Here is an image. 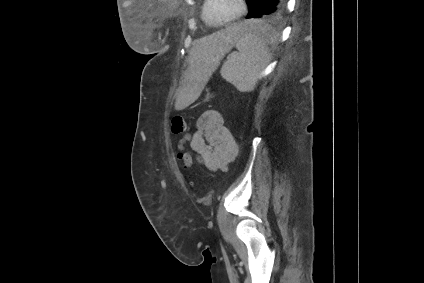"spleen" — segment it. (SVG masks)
<instances>
[{"mask_svg": "<svg viewBox=\"0 0 424 283\" xmlns=\"http://www.w3.org/2000/svg\"><path fill=\"white\" fill-rule=\"evenodd\" d=\"M244 36L236 43V49L227 57L221 69L222 77L241 92L252 91L262 70L269 62L271 53L267 38L275 40L276 33L260 20L245 22ZM275 36V37H274Z\"/></svg>", "mask_w": 424, "mask_h": 283, "instance_id": "obj_1", "label": "spleen"}]
</instances>
